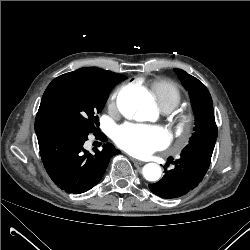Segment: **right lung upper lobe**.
<instances>
[{
  "label": "right lung upper lobe",
  "mask_w": 250,
  "mask_h": 250,
  "mask_svg": "<svg viewBox=\"0 0 250 250\" xmlns=\"http://www.w3.org/2000/svg\"><path fill=\"white\" fill-rule=\"evenodd\" d=\"M113 73L114 72L102 70L96 67H85V68H81L73 72L63 74L55 78L53 81L58 80L60 78L69 77V76H109V75H112ZM38 130L40 129L39 128L35 129V131H38Z\"/></svg>",
  "instance_id": "1"
}]
</instances>
